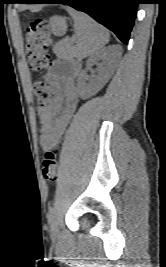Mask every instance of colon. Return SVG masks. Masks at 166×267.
Returning <instances> with one entry per match:
<instances>
[{
	"label": "colon",
	"instance_id": "5ec220e1",
	"mask_svg": "<svg viewBox=\"0 0 166 267\" xmlns=\"http://www.w3.org/2000/svg\"><path fill=\"white\" fill-rule=\"evenodd\" d=\"M51 43L49 23L44 19L32 20L26 28L25 48L30 67L34 71H42L49 67L50 57L48 48ZM33 92L41 107L47 106L55 99V90L45 81L33 83ZM42 175L48 182L57 179V158L53 151H47L42 163Z\"/></svg>",
	"mask_w": 166,
	"mask_h": 267
}]
</instances>
